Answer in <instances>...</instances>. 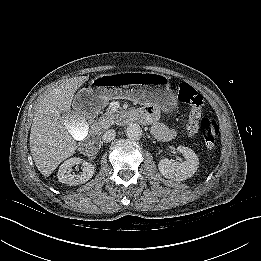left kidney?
Listing matches in <instances>:
<instances>
[{"instance_id": "left-kidney-1", "label": "left kidney", "mask_w": 261, "mask_h": 261, "mask_svg": "<svg viewBox=\"0 0 261 261\" xmlns=\"http://www.w3.org/2000/svg\"><path fill=\"white\" fill-rule=\"evenodd\" d=\"M177 151L183 154L185 161L172 162L164 158L159 161L158 169L167 179L183 181L195 174L199 165V159L196 153L188 147L178 146Z\"/></svg>"}]
</instances>
